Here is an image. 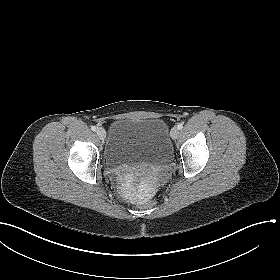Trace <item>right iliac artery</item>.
<instances>
[{
    "mask_svg": "<svg viewBox=\"0 0 280 280\" xmlns=\"http://www.w3.org/2000/svg\"><path fill=\"white\" fill-rule=\"evenodd\" d=\"M91 130H92V131H96V130H97L96 126H92V127H91Z\"/></svg>",
    "mask_w": 280,
    "mask_h": 280,
    "instance_id": "82829eb1",
    "label": "right iliac artery"
}]
</instances>
